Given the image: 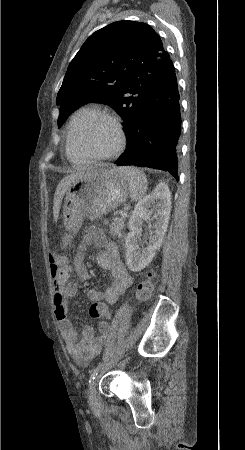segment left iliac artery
Returning a JSON list of instances; mask_svg holds the SVG:
<instances>
[{
	"label": "left iliac artery",
	"mask_w": 245,
	"mask_h": 450,
	"mask_svg": "<svg viewBox=\"0 0 245 450\" xmlns=\"http://www.w3.org/2000/svg\"><path fill=\"white\" fill-rule=\"evenodd\" d=\"M101 365H98L91 373L90 378H89V384H91L93 382V380L95 379V377L97 376L99 370H100Z\"/></svg>",
	"instance_id": "obj_1"
}]
</instances>
